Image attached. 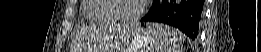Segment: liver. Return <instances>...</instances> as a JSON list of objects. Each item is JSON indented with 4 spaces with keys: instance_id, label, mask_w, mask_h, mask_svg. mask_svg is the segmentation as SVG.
<instances>
[{
    "instance_id": "1",
    "label": "liver",
    "mask_w": 261,
    "mask_h": 52,
    "mask_svg": "<svg viewBox=\"0 0 261 52\" xmlns=\"http://www.w3.org/2000/svg\"><path fill=\"white\" fill-rule=\"evenodd\" d=\"M127 28H130L127 26ZM121 32L115 29L110 30L109 32L104 34V41H102V45L100 46V50H109L110 48H115L116 38Z\"/></svg>"
}]
</instances>
